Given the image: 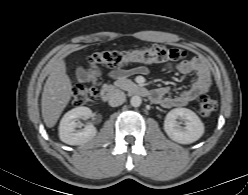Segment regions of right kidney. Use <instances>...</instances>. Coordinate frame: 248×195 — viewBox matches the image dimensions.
I'll use <instances>...</instances> for the list:
<instances>
[{
    "label": "right kidney",
    "mask_w": 248,
    "mask_h": 195,
    "mask_svg": "<svg viewBox=\"0 0 248 195\" xmlns=\"http://www.w3.org/2000/svg\"><path fill=\"white\" fill-rule=\"evenodd\" d=\"M91 116L92 111L88 107L80 106L68 111L60 121V140L68 145H80L93 139L97 134V130L92 124L77 130V128L81 127L78 119H88Z\"/></svg>",
    "instance_id": "1"
}]
</instances>
